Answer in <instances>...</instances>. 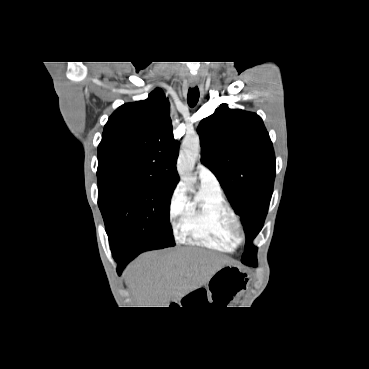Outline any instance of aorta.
Segmentation results:
<instances>
[{"label": "aorta", "instance_id": "obj_1", "mask_svg": "<svg viewBox=\"0 0 369 369\" xmlns=\"http://www.w3.org/2000/svg\"><path fill=\"white\" fill-rule=\"evenodd\" d=\"M200 152V139L198 135L186 136L182 143L181 153L177 161V171L184 181L191 179L195 161Z\"/></svg>", "mask_w": 369, "mask_h": 369}]
</instances>
